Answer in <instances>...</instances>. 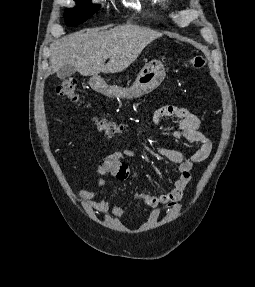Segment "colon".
<instances>
[{"label": "colon", "instance_id": "5ec220e1", "mask_svg": "<svg viewBox=\"0 0 255 287\" xmlns=\"http://www.w3.org/2000/svg\"><path fill=\"white\" fill-rule=\"evenodd\" d=\"M186 65L194 70H200L206 65V59L202 56H193L188 58ZM57 94L71 102H77L79 99L76 81L73 78H65L56 89ZM98 128L108 136H114L121 132V127L116 123L99 119L96 121Z\"/></svg>", "mask_w": 255, "mask_h": 287}]
</instances>
